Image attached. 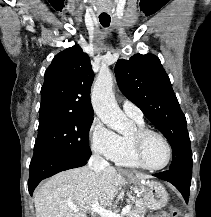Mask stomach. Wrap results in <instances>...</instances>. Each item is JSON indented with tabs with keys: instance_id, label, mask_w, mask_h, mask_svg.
Masks as SVG:
<instances>
[{
	"instance_id": "0dacf381",
	"label": "stomach",
	"mask_w": 211,
	"mask_h": 217,
	"mask_svg": "<svg viewBox=\"0 0 211 217\" xmlns=\"http://www.w3.org/2000/svg\"><path fill=\"white\" fill-rule=\"evenodd\" d=\"M131 181L141 188L145 208L157 210L163 208L169 200V195L164 186L155 181H145L133 178Z\"/></svg>"
}]
</instances>
